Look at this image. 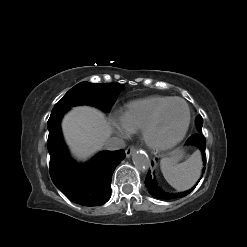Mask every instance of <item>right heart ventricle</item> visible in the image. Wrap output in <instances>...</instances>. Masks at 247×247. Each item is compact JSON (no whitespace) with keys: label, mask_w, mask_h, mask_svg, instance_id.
I'll use <instances>...</instances> for the list:
<instances>
[{"label":"right heart ventricle","mask_w":247,"mask_h":247,"mask_svg":"<svg viewBox=\"0 0 247 247\" xmlns=\"http://www.w3.org/2000/svg\"><path fill=\"white\" fill-rule=\"evenodd\" d=\"M173 97L154 95L127 104L123 117L132 131L143 130L155 111Z\"/></svg>","instance_id":"obj_1"}]
</instances>
